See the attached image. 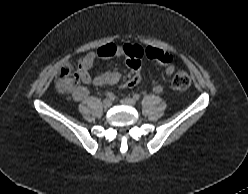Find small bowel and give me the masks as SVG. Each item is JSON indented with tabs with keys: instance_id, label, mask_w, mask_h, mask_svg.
<instances>
[{
	"instance_id": "1",
	"label": "small bowel",
	"mask_w": 248,
	"mask_h": 194,
	"mask_svg": "<svg viewBox=\"0 0 248 194\" xmlns=\"http://www.w3.org/2000/svg\"><path fill=\"white\" fill-rule=\"evenodd\" d=\"M158 49L153 47L143 48L138 44H123L116 45L109 43L100 47L97 51L89 52L82 56L78 61V72L81 81L86 85L105 86L114 85L121 79V74L118 71H108L103 74L92 76L90 69L97 59H108L111 57H123L129 68L134 72L136 69H140V59L146 56L150 59H155V55ZM175 71L173 64L167 65L165 68V76L170 77ZM138 83L133 82L132 78L127 81L126 88H133ZM153 92L160 93L163 90V85L159 81H153L151 84ZM89 94L88 88L80 85L77 86L73 92V98L76 101H83Z\"/></svg>"
}]
</instances>
